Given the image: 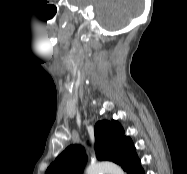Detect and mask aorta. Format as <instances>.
<instances>
[{"label":"aorta","mask_w":187,"mask_h":174,"mask_svg":"<svg viewBox=\"0 0 187 174\" xmlns=\"http://www.w3.org/2000/svg\"><path fill=\"white\" fill-rule=\"evenodd\" d=\"M85 174H125L123 169L112 162L92 163Z\"/></svg>","instance_id":"1"}]
</instances>
